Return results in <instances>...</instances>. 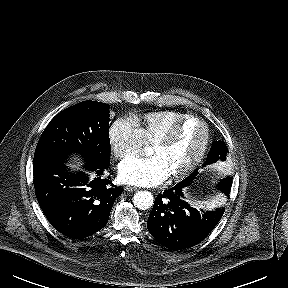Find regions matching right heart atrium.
<instances>
[{"label":"right heart atrium","mask_w":288,"mask_h":288,"mask_svg":"<svg viewBox=\"0 0 288 288\" xmlns=\"http://www.w3.org/2000/svg\"><path fill=\"white\" fill-rule=\"evenodd\" d=\"M109 144L113 156L123 159L137 155L145 141L132 118H122L116 120L108 132Z\"/></svg>","instance_id":"right-heart-atrium-1"}]
</instances>
